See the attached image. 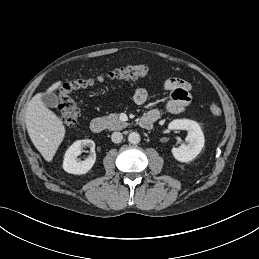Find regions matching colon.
Returning a JSON list of instances; mask_svg holds the SVG:
<instances>
[{
    "mask_svg": "<svg viewBox=\"0 0 259 259\" xmlns=\"http://www.w3.org/2000/svg\"><path fill=\"white\" fill-rule=\"evenodd\" d=\"M149 69L145 65H129L115 69L106 75H99L96 78H76L63 83L58 91V106L61 111V121L67 128H73L77 125L80 116V109L76 101L72 98V93L76 90L87 88L96 82H103L106 79L113 81H126L146 76ZM212 116H219L221 109L212 104L209 107Z\"/></svg>",
    "mask_w": 259,
    "mask_h": 259,
    "instance_id": "obj_1",
    "label": "colon"
}]
</instances>
